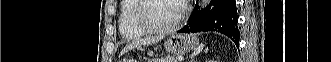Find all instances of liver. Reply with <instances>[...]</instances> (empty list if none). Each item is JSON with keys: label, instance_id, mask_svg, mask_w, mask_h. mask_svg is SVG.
<instances>
[{"label": "liver", "instance_id": "6515ba94", "mask_svg": "<svg viewBox=\"0 0 331 62\" xmlns=\"http://www.w3.org/2000/svg\"><path fill=\"white\" fill-rule=\"evenodd\" d=\"M164 36L159 35V36H154V37H146L143 39L136 40L129 45L125 46V48L122 50L121 54L128 52L129 50H132L138 46L142 45H150L159 42L161 39H163Z\"/></svg>", "mask_w": 331, "mask_h": 62}]
</instances>
